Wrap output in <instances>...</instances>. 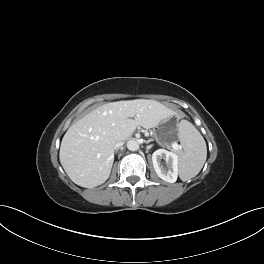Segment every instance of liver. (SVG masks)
<instances>
[{
  "mask_svg": "<svg viewBox=\"0 0 264 264\" xmlns=\"http://www.w3.org/2000/svg\"><path fill=\"white\" fill-rule=\"evenodd\" d=\"M173 114L154 100L103 104L67 130L60 146V163L75 184L99 186L109 178L117 141L127 140L137 126L153 128Z\"/></svg>",
  "mask_w": 264,
  "mask_h": 264,
  "instance_id": "6515ba94",
  "label": "liver"
}]
</instances>
